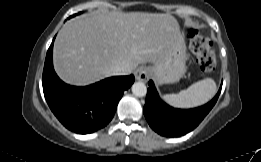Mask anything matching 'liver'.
I'll use <instances>...</instances> for the list:
<instances>
[{"mask_svg": "<svg viewBox=\"0 0 261 162\" xmlns=\"http://www.w3.org/2000/svg\"><path fill=\"white\" fill-rule=\"evenodd\" d=\"M180 35L170 14L91 12L65 23L53 50L54 68L71 85H88L113 75L115 66L132 71L139 64L156 63Z\"/></svg>", "mask_w": 261, "mask_h": 162, "instance_id": "liver-1", "label": "liver"}]
</instances>
